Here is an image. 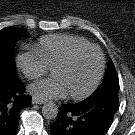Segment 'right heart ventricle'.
Listing matches in <instances>:
<instances>
[{
  "label": "right heart ventricle",
  "instance_id": "right-heart-ventricle-1",
  "mask_svg": "<svg viewBox=\"0 0 135 135\" xmlns=\"http://www.w3.org/2000/svg\"><path fill=\"white\" fill-rule=\"evenodd\" d=\"M90 43L79 36L69 34H50L39 39L35 50L40 54L47 67H52L72 49Z\"/></svg>",
  "mask_w": 135,
  "mask_h": 135
}]
</instances>
